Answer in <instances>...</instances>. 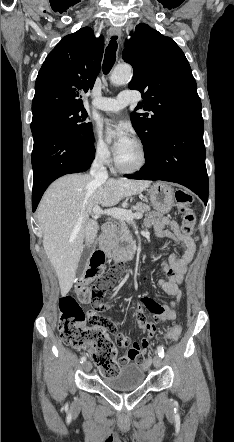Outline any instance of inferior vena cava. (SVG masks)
Here are the masks:
<instances>
[{
	"instance_id": "1",
	"label": "inferior vena cava",
	"mask_w": 234,
	"mask_h": 442,
	"mask_svg": "<svg viewBox=\"0 0 234 442\" xmlns=\"http://www.w3.org/2000/svg\"><path fill=\"white\" fill-rule=\"evenodd\" d=\"M103 156L104 152L100 151L97 153V156L92 164L90 174L99 179V180H107L108 179V173L106 170V167L103 165Z\"/></svg>"
}]
</instances>
